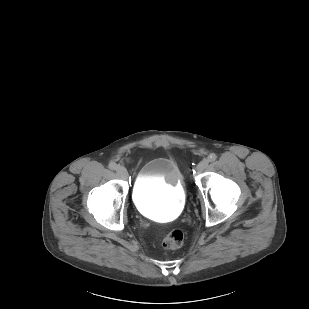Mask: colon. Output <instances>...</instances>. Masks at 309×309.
<instances>
[{"label": "colon", "instance_id": "5ec220e1", "mask_svg": "<svg viewBox=\"0 0 309 309\" xmlns=\"http://www.w3.org/2000/svg\"><path fill=\"white\" fill-rule=\"evenodd\" d=\"M184 240V234L180 229H170L163 235L162 243L167 249L179 248Z\"/></svg>", "mask_w": 309, "mask_h": 309}]
</instances>
